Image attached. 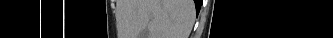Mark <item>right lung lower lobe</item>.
I'll return each mask as SVG.
<instances>
[{
    "label": "right lung lower lobe",
    "mask_w": 333,
    "mask_h": 38,
    "mask_svg": "<svg viewBox=\"0 0 333 38\" xmlns=\"http://www.w3.org/2000/svg\"><path fill=\"white\" fill-rule=\"evenodd\" d=\"M194 1H195V4H196V9H198V6L200 5V2L196 1V0H194Z\"/></svg>",
    "instance_id": "1"
}]
</instances>
